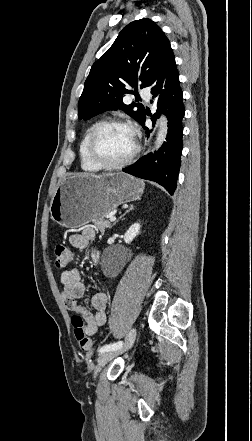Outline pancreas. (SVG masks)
Wrapping results in <instances>:
<instances>
[{
    "mask_svg": "<svg viewBox=\"0 0 252 441\" xmlns=\"http://www.w3.org/2000/svg\"><path fill=\"white\" fill-rule=\"evenodd\" d=\"M95 227L103 234L105 232V229L111 227V223L108 220L99 219V220H93L92 221Z\"/></svg>",
    "mask_w": 252,
    "mask_h": 441,
    "instance_id": "pancreas-1",
    "label": "pancreas"
}]
</instances>
